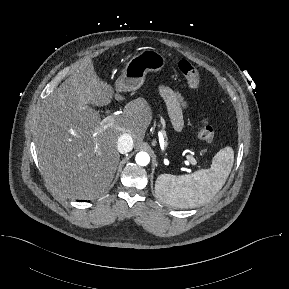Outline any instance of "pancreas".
Wrapping results in <instances>:
<instances>
[{"instance_id": "1", "label": "pancreas", "mask_w": 289, "mask_h": 289, "mask_svg": "<svg viewBox=\"0 0 289 289\" xmlns=\"http://www.w3.org/2000/svg\"><path fill=\"white\" fill-rule=\"evenodd\" d=\"M162 125H163V127L165 126V122H164V120H162Z\"/></svg>"}]
</instances>
